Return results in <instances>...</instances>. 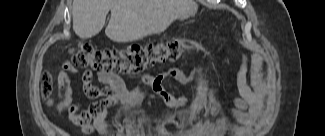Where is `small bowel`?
Listing matches in <instances>:
<instances>
[{"label": "small bowel", "instance_id": "c3829d8e", "mask_svg": "<svg viewBox=\"0 0 325 136\" xmlns=\"http://www.w3.org/2000/svg\"><path fill=\"white\" fill-rule=\"evenodd\" d=\"M229 58L221 60L220 65L225 66L229 63ZM80 76L85 95L89 98H97L101 92L92 85L93 73L91 70L80 72L69 61L62 65L57 79L58 98H65L61 108L67 111L70 120L77 125L84 133L91 134L95 131L103 135H109L110 127L108 123V108L114 104L121 103L132 105L138 103L144 94L146 88L150 87L152 91L169 107L180 108L187 105L190 96H174L168 92L163 83L167 79H172L177 83L187 84L195 77V73L185 72L176 68H171L163 74H146L142 79L141 86L134 90H129L124 81L118 75L100 71L97 73V79L100 83L109 86L102 92L105 98L94 103L90 107H85L76 99L72 83L76 81L70 76ZM236 86L239 97L233 100V105L238 110L247 109L257 114L261 111L264 103V88L261 81V61L257 55L244 54L240 68L236 74ZM66 90V91H65ZM92 120V121H91Z\"/></svg>", "mask_w": 325, "mask_h": 136}]
</instances>
